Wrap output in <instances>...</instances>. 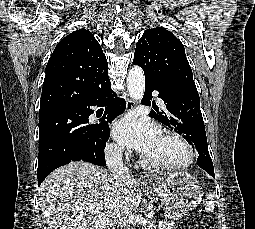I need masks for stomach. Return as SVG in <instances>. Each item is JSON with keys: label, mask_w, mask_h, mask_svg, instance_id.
I'll return each instance as SVG.
<instances>
[{"label": "stomach", "mask_w": 255, "mask_h": 229, "mask_svg": "<svg viewBox=\"0 0 255 229\" xmlns=\"http://www.w3.org/2000/svg\"><path fill=\"white\" fill-rule=\"evenodd\" d=\"M144 189L164 199L165 216L171 220H179L196 208L204 194L197 179L187 172H176Z\"/></svg>", "instance_id": "obj_1"}]
</instances>
